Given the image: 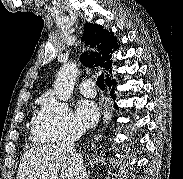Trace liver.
<instances>
[{"mask_svg":"<svg viewBox=\"0 0 183 179\" xmlns=\"http://www.w3.org/2000/svg\"><path fill=\"white\" fill-rule=\"evenodd\" d=\"M73 179L74 165L70 153L56 144L34 146L22 156L17 179Z\"/></svg>","mask_w":183,"mask_h":179,"instance_id":"6515ba94","label":"liver"}]
</instances>
